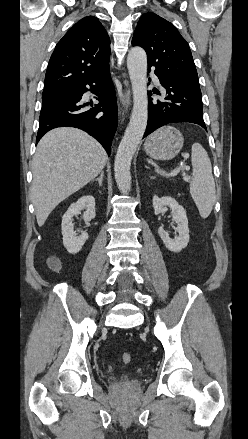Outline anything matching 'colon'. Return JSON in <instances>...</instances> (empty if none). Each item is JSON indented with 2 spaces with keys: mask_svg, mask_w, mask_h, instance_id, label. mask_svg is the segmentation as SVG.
Returning a JSON list of instances; mask_svg holds the SVG:
<instances>
[{
  "mask_svg": "<svg viewBox=\"0 0 248 439\" xmlns=\"http://www.w3.org/2000/svg\"><path fill=\"white\" fill-rule=\"evenodd\" d=\"M49 266H50V268H51L52 270L56 271V270H58V269L60 268V263H59V261H58L57 259H55V258H51L50 261H49ZM121 359H122V361H123L124 363L128 364V363L131 362V360H132V356H131L130 353H128V352H124V353H122V355H121Z\"/></svg>",
  "mask_w": 248,
  "mask_h": 439,
  "instance_id": "1",
  "label": "colon"
}]
</instances>
